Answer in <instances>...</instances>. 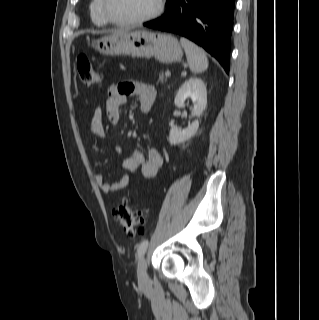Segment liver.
Masks as SVG:
<instances>
[{"label":"liver","mask_w":319,"mask_h":320,"mask_svg":"<svg viewBox=\"0 0 319 320\" xmlns=\"http://www.w3.org/2000/svg\"><path fill=\"white\" fill-rule=\"evenodd\" d=\"M123 31H128V30L127 29L116 30L114 31V33L123 32Z\"/></svg>","instance_id":"1"}]
</instances>
